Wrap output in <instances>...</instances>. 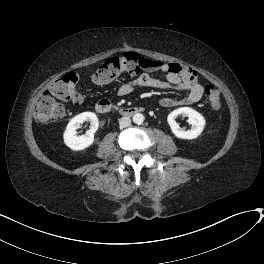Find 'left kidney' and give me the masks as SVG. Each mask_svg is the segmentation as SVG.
<instances>
[{
	"label": "left kidney",
	"instance_id": "left-kidney-1",
	"mask_svg": "<svg viewBox=\"0 0 264 264\" xmlns=\"http://www.w3.org/2000/svg\"><path fill=\"white\" fill-rule=\"evenodd\" d=\"M178 115L188 117V123L192 125L191 130L185 131L183 128H180L175 120ZM167 122L170 125L173 134L181 139L197 138L202 133L206 123L202 114L190 107H181L172 111L167 117Z\"/></svg>",
	"mask_w": 264,
	"mask_h": 264
}]
</instances>
